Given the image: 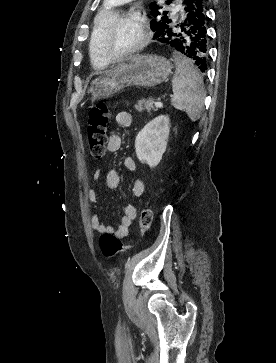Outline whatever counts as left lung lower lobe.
<instances>
[{"instance_id": "0a47b994", "label": "left lung lower lobe", "mask_w": 276, "mask_h": 363, "mask_svg": "<svg viewBox=\"0 0 276 363\" xmlns=\"http://www.w3.org/2000/svg\"><path fill=\"white\" fill-rule=\"evenodd\" d=\"M206 0H188L184 14L159 29L154 39L183 53L204 72L207 68Z\"/></svg>"}]
</instances>
